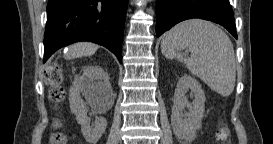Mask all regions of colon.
Returning <instances> with one entry per match:
<instances>
[{
  "mask_svg": "<svg viewBox=\"0 0 273 144\" xmlns=\"http://www.w3.org/2000/svg\"><path fill=\"white\" fill-rule=\"evenodd\" d=\"M47 82L50 85L49 96L54 103H59L63 100L65 92L62 86L63 73L62 70L57 66L53 65L46 73ZM219 141L221 143H229V132L226 127L222 126L219 134ZM65 142V138L62 134L56 133L51 138V143L62 144Z\"/></svg>",
  "mask_w": 273,
  "mask_h": 144,
  "instance_id": "5ec220e1",
  "label": "colon"
}]
</instances>
